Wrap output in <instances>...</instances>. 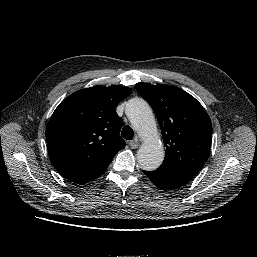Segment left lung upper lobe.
Wrapping results in <instances>:
<instances>
[{
    "label": "left lung upper lobe",
    "instance_id": "obj_1",
    "mask_svg": "<svg viewBox=\"0 0 257 257\" xmlns=\"http://www.w3.org/2000/svg\"><path fill=\"white\" fill-rule=\"evenodd\" d=\"M135 88L153 108L161 128L166 147L161 167L195 176L211 148L212 124L205 109L176 86L141 82Z\"/></svg>",
    "mask_w": 257,
    "mask_h": 257
}]
</instances>
